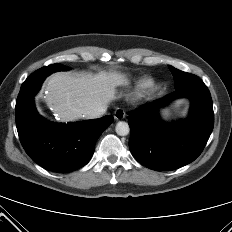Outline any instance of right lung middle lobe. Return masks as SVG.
<instances>
[{"label": "right lung middle lobe", "instance_id": "right-lung-middle-lobe-1", "mask_svg": "<svg viewBox=\"0 0 232 232\" xmlns=\"http://www.w3.org/2000/svg\"><path fill=\"white\" fill-rule=\"evenodd\" d=\"M69 68L67 66H64L62 64H52L47 67H43L39 70H36L34 73H32L23 83V85H28L31 83H34L36 81L44 80L46 76L49 74L60 71V70H68Z\"/></svg>", "mask_w": 232, "mask_h": 232}]
</instances>
